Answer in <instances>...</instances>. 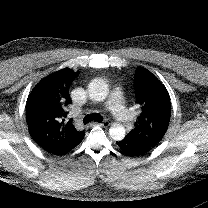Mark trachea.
I'll use <instances>...</instances> for the list:
<instances>
[{
	"label": "trachea",
	"mask_w": 208,
	"mask_h": 208,
	"mask_svg": "<svg viewBox=\"0 0 208 208\" xmlns=\"http://www.w3.org/2000/svg\"><path fill=\"white\" fill-rule=\"evenodd\" d=\"M91 121L102 122L103 117L100 114L93 113V114H90V115H86L83 119L84 124H88Z\"/></svg>",
	"instance_id": "3493384b"
}]
</instances>
